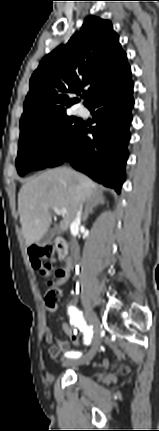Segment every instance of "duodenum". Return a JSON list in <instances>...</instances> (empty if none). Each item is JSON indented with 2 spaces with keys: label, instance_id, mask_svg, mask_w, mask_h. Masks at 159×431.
<instances>
[{
  "label": "duodenum",
  "instance_id": "duodenum-1",
  "mask_svg": "<svg viewBox=\"0 0 159 431\" xmlns=\"http://www.w3.org/2000/svg\"><path fill=\"white\" fill-rule=\"evenodd\" d=\"M55 245L59 256L61 258H66L67 263L69 262L71 264L67 242L63 238L58 237L55 240Z\"/></svg>",
  "mask_w": 159,
  "mask_h": 431
}]
</instances>
